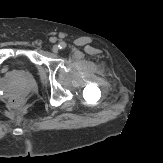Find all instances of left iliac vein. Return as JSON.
<instances>
[{"instance_id": "4c4485c4", "label": "left iliac vein", "mask_w": 163, "mask_h": 163, "mask_svg": "<svg viewBox=\"0 0 163 163\" xmlns=\"http://www.w3.org/2000/svg\"><path fill=\"white\" fill-rule=\"evenodd\" d=\"M52 51H53L54 53H58V51H59V46L54 45L53 48H52Z\"/></svg>"}]
</instances>
